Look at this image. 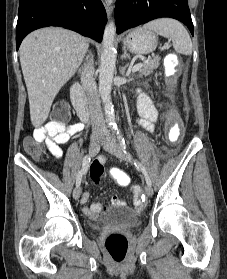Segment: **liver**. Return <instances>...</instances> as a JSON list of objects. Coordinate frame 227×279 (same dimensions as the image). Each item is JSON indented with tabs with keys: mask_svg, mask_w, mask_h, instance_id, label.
<instances>
[{
	"mask_svg": "<svg viewBox=\"0 0 227 279\" xmlns=\"http://www.w3.org/2000/svg\"><path fill=\"white\" fill-rule=\"evenodd\" d=\"M88 47L87 38L59 27L38 29L22 41L20 63L35 128L47 120L56 95L75 74Z\"/></svg>",
	"mask_w": 227,
	"mask_h": 279,
	"instance_id": "1",
	"label": "liver"
}]
</instances>
